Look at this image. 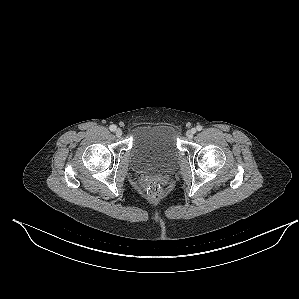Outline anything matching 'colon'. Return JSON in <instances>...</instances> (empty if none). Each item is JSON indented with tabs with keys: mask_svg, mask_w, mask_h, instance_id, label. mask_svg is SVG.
<instances>
[{
	"mask_svg": "<svg viewBox=\"0 0 299 299\" xmlns=\"http://www.w3.org/2000/svg\"><path fill=\"white\" fill-rule=\"evenodd\" d=\"M162 191L161 184L157 181H150L147 185V193L149 197L156 200L160 197Z\"/></svg>",
	"mask_w": 299,
	"mask_h": 299,
	"instance_id": "obj_1",
	"label": "colon"
}]
</instances>
